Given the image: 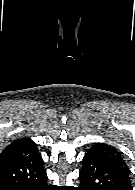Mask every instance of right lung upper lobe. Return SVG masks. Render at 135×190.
Instances as JSON below:
<instances>
[{
  "label": "right lung upper lobe",
  "instance_id": "obj_1",
  "mask_svg": "<svg viewBox=\"0 0 135 190\" xmlns=\"http://www.w3.org/2000/svg\"><path fill=\"white\" fill-rule=\"evenodd\" d=\"M36 144L27 138H21L12 142L1 153L0 161L14 158L34 157L38 155Z\"/></svg>",
  "mask_w": 135,
  "mask_h": 190
}]
</instances>
